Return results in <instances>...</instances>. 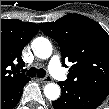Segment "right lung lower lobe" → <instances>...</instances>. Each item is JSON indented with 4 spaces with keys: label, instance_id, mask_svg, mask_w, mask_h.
<instances>
[{
    "label": "right lung lower lobe",
    "instance_id": "1",
    "mask_svg": "<svg viewBox=\"0 0 109 109\" xmlns=\"http://www.w3.org/2000/svg\"><path fill=\"white\" fill-rule=\"evenodd\" d=\"M30 81L26 78L15 85L1 91V109H13L19 102L24 85Z\"/></svg>",
    "mask_w": 109,
    "mask_h": 109
}]
</instances>
